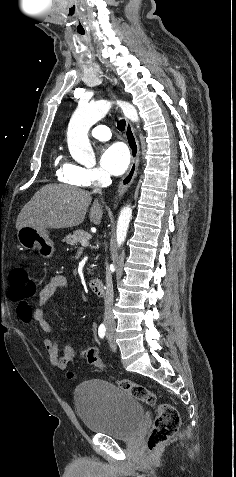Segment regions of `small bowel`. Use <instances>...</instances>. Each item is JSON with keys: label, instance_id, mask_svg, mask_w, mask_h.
<instances>
[{"label": "small bowel", "instance_id": "1", "mask_svg": "<svg viewBox=\"0 0 236 477\" xmlns=\"http://www.w3.org/2000/svg\"><path fill=\"white\" fill-rule=\"evenodd\" d=\"M67 286L68 280L64 275L56 274L52 276L39 292L36 308H31L23 314L18 312L21 321L29 327H33L42 333L51 335L52 328L46 319L44 306L58 289L66 288ZM91 328L95 333L97 325L93 323ZM89 348L99 355V350L96 346ZM44 349L49 363L59 370H64L73 364L78 352V349L73 346L65 345L60 347L58 341L53 337L45 338Z\"/></svg>", "mask_w": 236, "mask_h": 477}]
</instances>
